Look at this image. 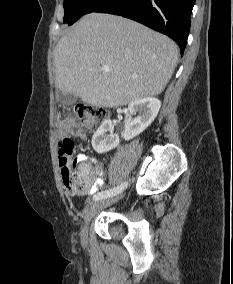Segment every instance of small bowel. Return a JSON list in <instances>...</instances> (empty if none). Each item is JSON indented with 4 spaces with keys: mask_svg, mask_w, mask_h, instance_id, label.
<instances>
[{
    "mask_svg": "<svg viewBox=\"0 0 233 284\" xmlns=\"http://www.w3.org/2000/svg\"><path fill=\"white\" fill-rule=\"evenodd\" d=\"M68 129L67 126H60V133L62 134L64 131ZM74 134L81 138H85V134L81 130H76ZM77 164L80 166L83 172L88 174L91 177L92 184L90 189L86 192L87 194H92L99 190L103 186V174L104 167L94 158H89L85 155H78L76 158Z\"/></svg>",
    "mask_w": 233,
    "mask_h": 284,
    "instance_id": "obj_1",
    "label": "small bowel"
}]
</instances>
